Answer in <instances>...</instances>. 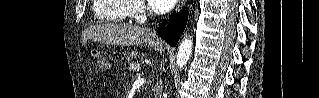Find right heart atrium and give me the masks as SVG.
<instances>
[{
  "mask_svg": "<svg viewBox=\"0 0 319 98\" xmlns=\"http://www.w3.org/2000/svg\"><path fill=\"white\" fill-rule=\"evenodd\" d=\"M133 14L136 16H141L146 14V8L143 4H138L133 8Z\"/></svg>",
  "mask_w": 319,
  "mask_h": 98,
  "instance_id": "1",
  "label": "right heart atrium"
}]
</instances>
